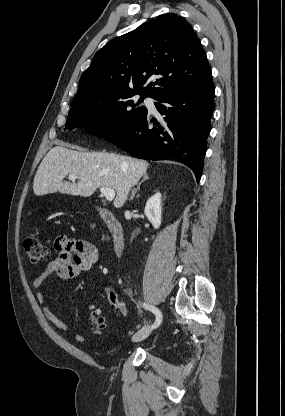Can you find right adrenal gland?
Here are the masks:
<instances>
[{
	"instance_id": "1",
	"label": "right adrenal gland",
	"mask_w": 285,
	"mask_h": 416,
	"mask_svg": "<svg viewBox=\"0 0 285 416\" xmlns=\"http://www.w3.org/2000/svg\"><path fill=\"white\" fill-rule=\"evenodd\" d=\"M145 180H149L147 174H144L143 180H141V182H139L137 188H133L129 200H133V198H135L136 192H138V190H140V186H141V184H143V182H145Z\"/></svg>"
}]
</instances>
